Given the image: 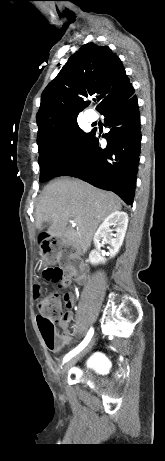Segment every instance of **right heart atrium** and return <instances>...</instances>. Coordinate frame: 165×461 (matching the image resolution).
<instances>
[{"label":"right heart atrium","instance_id":"1","mask_svg":"<svg viewBox=\"0 0 165 461\" xmlns=\"http://www.w3.org/2000/svg\"><path fill=\"white\" fill-rule=\"evenodd\" d=\"M71 151V147L68 144H65L61 149L62 156H67Z\"/></svg>","mask_w":165,"mask_h":461}]
</instances>
